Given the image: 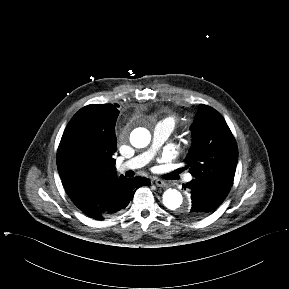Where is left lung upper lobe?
Wrapping results in <instances>:
<instances>
[{
	"instance_id": "5c2ea615",
	"label": "left lung upper lobe",
	"mask_w": 289,
	"mask_h": 289,
	"mask_svg": "<svg viewBox=\"0 0 289 289\" xmlns=\"http://www.w3.org/2000/svg\"><path fill=\"white\" fill-rule=\"evenodd\" d=\"M193 145L184 159L194 178L233 185L238 149L222 115L201 104L191 126Z\"/></svg>"
}]
</instances>
